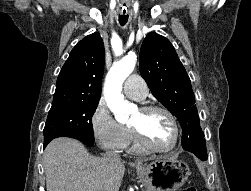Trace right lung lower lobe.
<instances>
[{"label":"right lung lower lobe","instance_id":"1","mask_svg":"<svg viewBox=\"0 0 251 191\" xmlns=\"http://www.w3.org/2000/svg\"><path fill=\"white\" fill-rule=\"evenodd\" d=\"M64 137L75 138V139L81 141L85 145H93V142H94V140H92V139H88V138H85V137H82V136H79V135H73V134H71V135H66ZM47 144L45 143L43 148H45L47 146Z\"/></svg>","mask_w":251,"mask_h":191}]
</instances>
